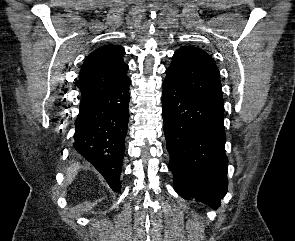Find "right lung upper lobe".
Here are the masks:
<instances>
[{
    "label": "right lung upper lobe",
    "instance_id": "obj_1",
    "mask_svg": "<svg viewBox=\"0 0 295 241\" xmlns=\"http://www.w3.org/2000/svg\"><path fill=\"white\" fill-rule=\"evenodd\" d=\"M125 50L120 45H106L93 51L85 59L80 75L82 97L116 88L127 82L129 67L123 61Z\"/></svg>",
    "mask_w": 295,
    "mask_h": 241
}]
</instances>
